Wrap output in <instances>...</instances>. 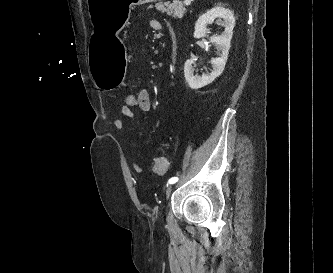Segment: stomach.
<instances>
[{
  "instance_id": "obj_1",
  "label": "stomach",
  "mask_w": 333,
  "mask_h": 273,
  "mask_svg": "<svg viewBox=\"0 0 333 273\" xmlns=\"http://www.w3.org/2000/svg\"><path fill=\"white\" fill-rule=\"evenodd\" d=\"M157 1L160 0H88L92 23L97 28L88 44V56H92L90 69L98 88L113 90L125 81L128 58L119 37L130 18L128 11Z\"/></svg>"
}]
</instances>
